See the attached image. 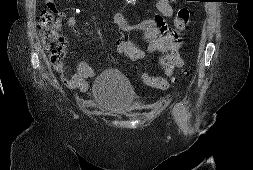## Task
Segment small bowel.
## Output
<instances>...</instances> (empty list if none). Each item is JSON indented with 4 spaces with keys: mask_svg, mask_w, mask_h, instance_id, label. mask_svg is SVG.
Segmentation results:
<instances>
[{
    "mask_svg": "<svg viewBox=\"0 0 253 170\" xmlns=\"http://www.w3.org/2000/svg\"><path fill=\"white\" fill-rule=\"evenodd\" d=\"M173 2H175V0H158V14L153 18L142 20L137 23H130L121 12H116L113 15V21L120 29V37L116 42L118 52L132 61L144 59L146 57V51L158 53V63L164 70L167 78L173 75L176 68H181L183 66V60L179 54L182 41L178 31L182 30L185 26H177V16L174 20V30L171 29L165 21L166 17H170L173 14ZM46 6L49 10L57 14L54 23L56 31L61 29L62 23L65 20L66 24L74 29L76 36L82 34L77 28V18L75 16L68 15L66 12L58 10L53 0H46ZM132 30H141L143 32V38L147 43L146 50L137 47L129 40L128 34ZM53 68L62 76L68 88L80 92H86L88 90L89 80L94 77L93 69L85 61L78 65L76 71L71 76H66L67 68L62 62L54 63ZM167 78L151 76L147 72L142 74V80L145 84L149 85L148 80L153 79L159 84L154 88L159 89H165L169 86V80Z\"/></svg>",
    "mask_w": 253,
    "mask_h": 170,
    "instance_id": "1",
    "label": "small bowel"
}]
</instances>
